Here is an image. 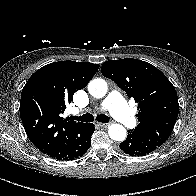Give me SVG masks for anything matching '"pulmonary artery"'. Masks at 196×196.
<instances>
[{"label":"pulmonary artery","instance_id":"1","mask_svg":"<svg viewBox=\"0 0 196 196\" xmlns=\"http://www.w3.org/2000/svg\"><path fill=\"white\" fill-rule=\"evenodd\" d=\"M103 105L126 127L133 128L136 125V118L118 92H111L106 97Z\"/></svg>","mask_w":196,"mask_h":196}]
</instances>
